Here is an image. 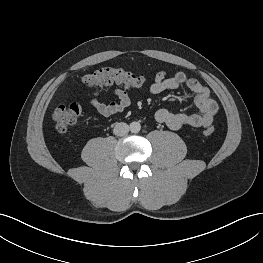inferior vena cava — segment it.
Instances as JSON below:
<instances>
[{
  "label": "inferior vena cava",
  "mask_w": 263,
  "mask_h": 263,
  "mask_svg": "<svg viewBox=\"0 0 263 263\" xmlns=\"http://www.w3.org/2000/svg\"><path fill=\"white\" fill-rule=\"evenodd\" d=\"M130 130V127L124 123H116L113 129V133L117 136H125Z\"/></svg>",
  "instance_id": "1"
}]
</instances>
